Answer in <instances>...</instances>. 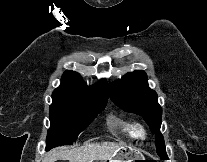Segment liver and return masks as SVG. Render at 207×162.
Segmentation results:
<instances>
[{"label":"liver","instance_id":"liver-1","mask_svg":"<svg viewBox=\"0 0 207 162\" xmlns=\"http://www.w3.org/2000/svg\"><path fill=\"white\" fill-rule=\"evenodd\" d=\"M123 146V144L114 142H101L96 144H86L82 147L68 150L53 149L46 155L44 162H55L57 160H68L69 162L110 160Z\"/></svg>","mask_w":207,"mask_h":162}]
</instances>
